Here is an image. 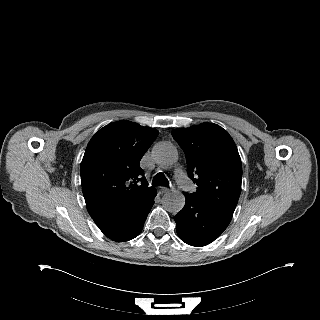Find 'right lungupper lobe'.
Returning <instances> with one entry per match:
<instances>
[{
	"label": "right lung upper lobe",
	"mask_w": 320,
	"mask_h": 320,
	"mask_svg": "<svg viewBox=\"0 0 320 320\" xmlns=\"http://www.w3.org/2000/svg\"><path fill=\"white\" fill-rule=\"evenodd\" d=\"M157 135L153 128L118 121L90 140L80 173L86 207L95 223L130 212L157 192L148 187L139 165Z\"/></svg>",
	"instance_id": "right-lung-upper-lobe-1"
}]
</instances>
